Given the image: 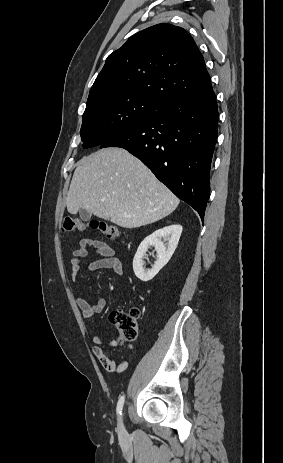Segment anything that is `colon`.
<instances>
[{
	"label": "colon",
	"mask_w": 283,
	"mask_h": 463,
	"mask_svg": "<svg viewBox=\"0 0 283 463\" xmlns=\"http://www.w3.org/2000/svg\"><path fill=\"white\" fill-rule=\"evenodd\" d=\"M62 228L65 232H82L88 228H91L112 240L119 239L122 235L117 226L98 219L84 220L72 216H67L64 219ZM139 317L140 310L136 307L129 308L125 311L117 310L111 313L110 318L117 328L119 340L121 343L131 344L136 341L139 335Z\"/></svg>",
	"instance_id": "colon-1"
}]
</instances>
